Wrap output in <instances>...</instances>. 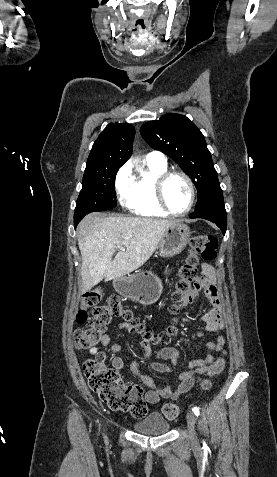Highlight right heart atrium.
Instances as JSON below:
<instances>
[{
    "label": "right heart atrium",
    "instance_id": "right-heart-atrium-1",
    "mask_svg": "<svg viewBox=\"0 0 277 477\" xmlns=\"http://www.w3.org/2000/svg\"><path fill=\"white\" fill-rule=\"evenodd\" d=\"M132 173L129 164H124L117 172L115 177V188L118 193L119 200L126 204L132 185Z\"/></svg>",
    "mask_w": 277,
    "mask_h": 477
}]
</instances>
